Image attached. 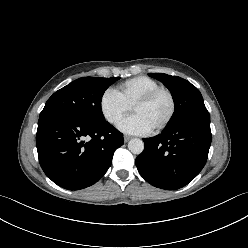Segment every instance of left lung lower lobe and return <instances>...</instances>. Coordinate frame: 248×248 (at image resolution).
I'll return each mask as SVG.
<instances>
[{"mask_svg":"<svg viewBox=\"0 0 248 248\" xmlns=\"http://www.w3.org/2000/svg\"><path fill=\"white\" fill-rule=\"evenodd\" d=\"M211 138L209 113H199L155 137L144 138V151L136 158L137 169L155 187L182 188L205 166Z\"/></svg>","mask_w":248,"mask_h":248,"instance_id":"left-lung-lower-lobe-1","label":"left lung lower lobe"}]
</instances>
